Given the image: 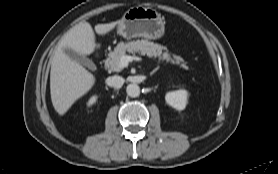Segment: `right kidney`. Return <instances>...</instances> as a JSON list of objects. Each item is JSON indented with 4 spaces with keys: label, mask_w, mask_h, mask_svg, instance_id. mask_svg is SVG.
Here are the masks:
<instances>
[{
    "label": "right kidney",
    "mask_w": 278,
    "mask_h": 174,
    "mask_svg": "<svg viewBox=\"0 0 278 174\" xmlns=\"http://www.w3.org/2000/svg\"><path fill=\"white\" fill-rule=\"evenodd\" d=\"M97 98H98V97H97L96 95L92 96V97L88 100L87 105H88V106H91V105H93L94 103H96Z\"/></svg>",
    "instance_id": "obj_1"
}]
</instances>
